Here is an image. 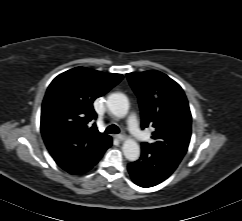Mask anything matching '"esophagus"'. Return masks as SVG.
I'll use <instances>...</instances> for the list:
<instances>
[{
  "label": "esophagus",
  "mask_w": 242,
  "mask_h": 221,
  "mask_svg": "<svg viewBox=\"0 0 242 221\" xmlns=\"http://www.w3.org/2000/svg\"><path fill=\"white\" fill-rule=\"evenodd\" d=\"M119 141H124L126 139L125 134H118L115 136Z\"/></svg>",
  "instance_id": "1"
}]
</instances>
